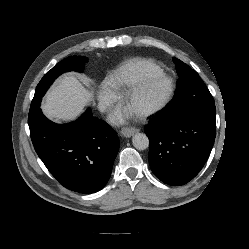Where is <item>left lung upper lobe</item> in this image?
<instances>
[{
	"label": "left lung upper lobe",
	"instance_id": "1",
	"mask_svg": "<svg viewBox=\"0 0 249 249\" xmlns=\"http://www.w3.org/2000/svg\"><path fill=\"white\" fill-rule=\"evenodd\" d=\"M179 76L175 95L162 111L165 117H175L196 109H215L211 93L198 73L177 58H173Z\"/></svg>",
	"mask_w": 249,
	"mask_h": 249
}]
</instances>
